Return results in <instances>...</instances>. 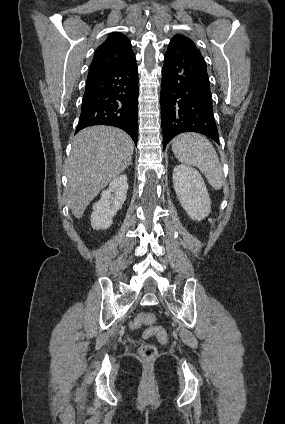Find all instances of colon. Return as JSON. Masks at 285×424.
I'll return each mask as SVG.
<instances>
[{
  "label": "colon",
  "instance_id": "colon-1",
  "mask_svg": "<svg viewBox=\"0 0 285 424\" xmlns=\"http://www.w3.org/2000/svg\"><path fill=\"white\" fill-rule=\"evenodd\" d=\"M155 316L152 313L144 312L135 317L131 324L132 329L140 328L143 325L153 324ZM145 337L156 336L160 341L166 342L168 335L165 330L158 327H150L144 332ZM140 356L146 360H152L157 356V349L152 344H143L139 349Z\"/></svg>",
  "mask_w": 285,
  "mask_h": 424
}]
</instances>
